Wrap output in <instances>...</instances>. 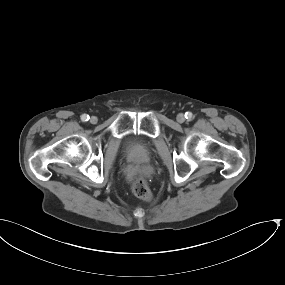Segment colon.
<instances>
[{
  "instance_id": "colon-1",
  "label": "colon",
  "mask_w": 285,
  "mask_h": 285,
  "mask_svg": "<svg viewBox=\"0 0 285 285\" xmlns=\"http://www.w3.org/2000/svg\"><path fill=\"white\" fill-rule=\"evenodd\" d=\"M131 191L141 200L150 201L152 199L149 183L144 178H136L131 184Z\"/></svg>"
}]
</instances>
